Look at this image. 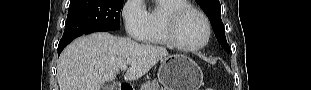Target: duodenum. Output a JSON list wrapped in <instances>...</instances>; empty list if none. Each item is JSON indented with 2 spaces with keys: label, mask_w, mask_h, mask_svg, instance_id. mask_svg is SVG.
<instances>
[{
  "label": "duodenum",
  "mask_w": 311,
  "mask_h": 90,
  "mask_svg": "<svg viewBox=\"0 0 311 90\" xmlns=\"http://www.w3.org/2000/svg\"><path fill=\"white\" fill-rule=\"evenodd\" d=\"M118 90H132V87L128 84H121Z\"/></svg>",
  "instance_id": "obj_1"
}]
</instances>
